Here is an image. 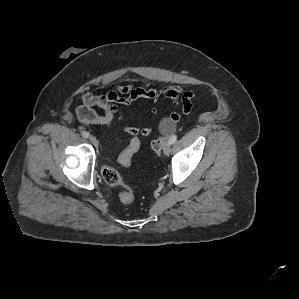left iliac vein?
I'll return each instance as SVG.
<instances>
[{
    "label": "left iliac vein",
    "mask_w": 299,
    "mask_h": 299,
    "mask_svg": "<svg viewBox=\"0 0 299 299\" xmlns=\"http://www.w3.org/2000/svg\"><path fill=\"white\" fill-rule=\"evenodd\" d=\"M171 151V144L167 141L163 147V152L165 155H169Z\"/></svg>",
    "instance_id": "4c4485c4"
}]
</instances>
